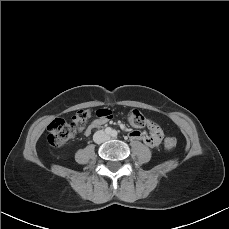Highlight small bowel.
Listing matches in <instances>:
<instances>
[{
  "label": "small bowel",
  "instance_id": "c3829d8e",
  "mask_svg": "<svg viewBox=\"0 0 229 229\" xmlns=\"http://www.w3.org/2000/svg\"><path fill=\"white\" fill-rule=\"evenodd\" d=\"M108 121V117L99 116L95 119L90 126L85 130V134L88 135L92 129L101 126L102 124ZM148 129L150 130V134H144L140 131H133L129 133V137L134 140H140L145 143L149 147H157L161 143V128L160 126L152 120H148Z\"/></svg>",
  "mask_w": 229,
  "mask_h": 229
}]
</instances>
